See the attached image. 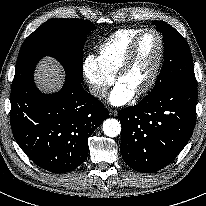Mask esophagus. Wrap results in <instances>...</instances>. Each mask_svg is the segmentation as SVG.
Instances as JSON below:
<instances>
[{
    "label": "esophagus",
    "mask_w": 206,
    "mask_h": 206,
    "mask_svg": "<svg viewBox=\"0 0 206 206\" xmlns=\"http://www.w3.org/2000/svg\"><path fill=\"white\" fill-rule=\"evenodd\" d=\"M109 114H110L111 116H117L118 112H117V110L110 109V110H109Z\"/></svg>",
    "instance_id": "obj_1"
}]
</instances>
